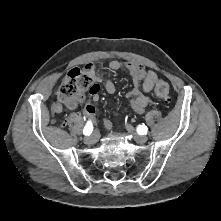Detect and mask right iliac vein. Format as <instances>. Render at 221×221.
Returning a JSON list of instances; mask_svg holds the SVG:
<instances>
[{
	"instance_id": "63e3f726",
	"label": "right iliac vein",
	"mask_w": 221,
	"mask_h": 221,
	"mask_svg": "<svg viewBox=\"0 0 221 221\" xmlns=\"http://www.w3.org/2000/svg\"><path fill=\"white\" fill-rule=\"evenodd\" d=\"M97 136L96 134H92L91 136L84 138V143L87 145H92L96 142Z\"/></svg>"
}]
</instances>
